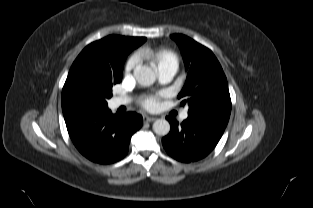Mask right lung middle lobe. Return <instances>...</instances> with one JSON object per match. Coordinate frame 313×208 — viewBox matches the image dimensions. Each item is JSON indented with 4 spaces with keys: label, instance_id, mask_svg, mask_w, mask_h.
<instances>
[{
    "label": "right lung middle lobe",
    "instance_id": "right-lung-middle-lobe-1",
    "mask_svg": "<svg viewBox=\"0 0 313 208\" xmlns=\"http://www.w3.org/2000/svg\"><path fill=\"white\" fill-rule=\"evenodd\" d=\"M113 62L102 68L85 69L72 74L65 82L62 93L68 99L79 100L97 106H107L112 87L122 79L124 52L114 51Z\"/></svg>",
    "mask_w": 313,
    "mask_h": 208
}]
</instances>
